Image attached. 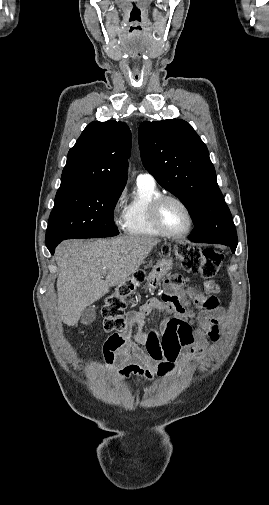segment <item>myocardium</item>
I'll return each mask as SVG.
<instances>
[{"mask_svg": "<svg viewBox=\"0 0 269 505\" xmlns=\"http://www.w3.org/2000/svg\"><path fill=\"white\" fill-rule=\"evenodd\" d=\"M168 200H172V201H175L178 204H180L184 208V210L186 211V213H187V216H188V226L182 232H179V233L170 232V231H168L163 226V224L161 222V219H160V209H161L162 204L165 201H168ZM149 214H150V218H151V222H152L153 226L156 228V230L162 236H165V237H169V238H182V237H185L186 235H188L191 232V230H192V228L194 226V216H193L191 208L189 207V205L182 198H180V197H178L176 195H172V194H160L157 197H155L151 201V203H150Z\"/></svg>", "mask_w": 269, "mask_h": 505, "instance_id": "obj_1", "label": "myocardium"}]
</instances>
